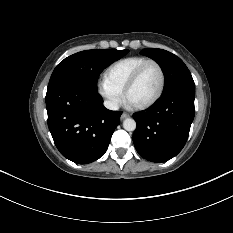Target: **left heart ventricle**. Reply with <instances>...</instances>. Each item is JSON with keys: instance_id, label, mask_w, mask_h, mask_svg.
Wrapping results in <instances>:
<instances>
[{"instance_id": "1", "label": "left heart ventricle", "mask_w": 233, "mask_h": 233, "mask_svg": "<svg viewBox=\"0 0 233 233\" xmlns=\"http://www.w3.org/2000/svg\"><path fill=\"white\" fill-rule=\"evenodd\" d=\"M161 77L155 65H149L129 91L127 101L133 106L141 105L151 100L159 90Z\"/></svg>"}]
</instances>
